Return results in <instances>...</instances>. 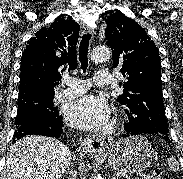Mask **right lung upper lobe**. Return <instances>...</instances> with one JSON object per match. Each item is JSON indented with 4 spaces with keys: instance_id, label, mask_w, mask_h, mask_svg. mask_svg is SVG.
I'll return each instance as SVG.
<instances>
[{
    "instance_id": "1",
    "label": "right lung upper lobe",
    "mask_w": 183,
    "mask_h": 179,
    "mask_svg": "<svg viewBox=\"0 0 183 179\" xmlns=\"http://www.w3.org/2000/svg\"><path fill=\"white\" fill-rule=\"evenodd\" d=\"M79 30L72 19L59 18L28 41L21 60L19 97L55 94L62 73L77 67Z\"/></svg>"
}]
</instances>
